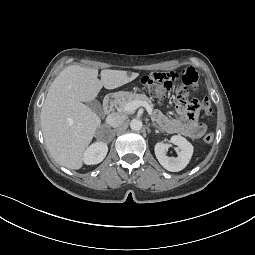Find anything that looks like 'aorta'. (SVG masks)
<instances>
[{"instance_id":"obj_1","label":"aorta","mask_w":255,"mask_h":255,"mask_svg":"<svg viewBox=\"0 0 255 255\" xmlns=\"http://www.w3.org/2000/svg\"><path fill=\"white\" fill-rule=\"evenodd\" d=\"M130 128L134 131H139L142 128V121L140 119H132Z\"/></svg>"}]
</instances>
